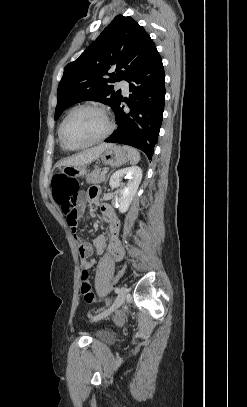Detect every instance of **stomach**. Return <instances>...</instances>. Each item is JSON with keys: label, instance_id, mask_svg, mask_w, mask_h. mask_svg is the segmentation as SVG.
Here are the masks:
<instances>
[{"label": "stomach", "instance_id": "stomach-1", "mask_svg": "<svg viewBox=\"0 0 247 407\" xmlns=\"http://www.w3.org/2000/svg\"><path fill=\"white\" fill-rule=\"evenodd\" d=\"M103 164L118 167L129 160V154L124 147L110 144L100 155ZM62 172L72 177H80L86 174V166H65Z\"/></svg>", "mask_w": 247, "mask_h": 407}]
</instances>
